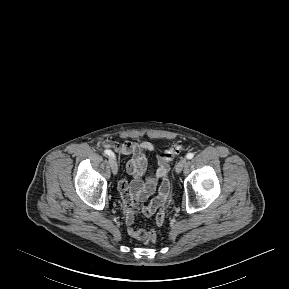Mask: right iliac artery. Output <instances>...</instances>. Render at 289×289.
<instances>
[{
  "label": "right iliac artery",
  "mask_w": 289,
  "mask_h": 289,
  "mask_svg": "<svg viewBox=\"0 0 289 289\" xmlns=\"http://www.w3.org/2000/svg\"><path fill=\"white\" fill-rule=\"evenodd\" d=\"M104 154L109 156V157L115 158V155L111 150H104Z\"/></svg>",
  "instance_id": "right-iliac-artery-1"
}]
</instances>
